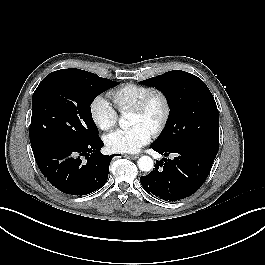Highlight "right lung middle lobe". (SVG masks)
Returning <instances> with one entry per match:
<instances>
[{
    "label": "right lung middle lobe",
    "mask_w": 265,
    "mask_h": 265,
    "mask_svg": "<svg viewBox=\"0 0 265 265\" xmlns=\"http://www.w3.org/2000/svg\"><path fill=\"white\" fill-rule=\"evenodd\" d=\"M118 83L75 68L46 76L32 96V148L98 138L90 105L99 94Z\"/></svg>",
    "instance_id": "right-lung-middle-lobe-1"
}]
</instances>
